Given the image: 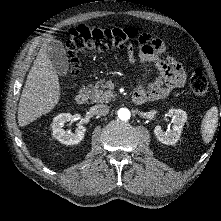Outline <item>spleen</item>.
Returning <instances> with one entry per match:
<instances>
[{"label": "spleen", "mask_w": 221, "mask_h": 221, "mask_svg": "<svg viewBox=\"0 0 221 221\" xmlns=\"http://www.w3.org/2000/svg\"><path fill=\"white\" fill-rule=\"evenodd\" d=\"M218 126V109L217 107H211L204 117L201 124V133L205 143H209Z\"/></svg>", "instance_id": "3e777b00"}]
</instances>
